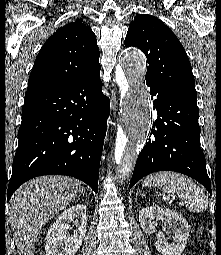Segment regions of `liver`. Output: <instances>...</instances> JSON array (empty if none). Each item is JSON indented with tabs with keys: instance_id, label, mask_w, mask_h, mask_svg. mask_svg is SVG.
I'll list each match as a JSON object with an SVG mask.
<instances>
[{
	"instance_id": "obj_1",
	"label": "liver",
	"mask_w": 221,
	"mask_h": 255,
	"mask_svg": "<svg viewBox=\"0 0 221 255\" xmlns=\"http://www.w3.org/2000/svg\"><path fill=\"white\" fill-rule=\"evenodd\" d=\"M75 178L42 176L23 184L9 202V223L19 255H35L40 230L82 192Z\"/></svg>"
}]
</instances>
